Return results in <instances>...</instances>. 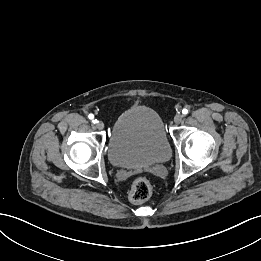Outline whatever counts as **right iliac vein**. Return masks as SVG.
<instances>
[{
  "label": "right iliac vein",
  "instance_id": "63e3f726",
  "mask_svg": "<svg viewBox=\"0 0 261 261\" xmlns=\"http://www.w3.org/2000/svg\"><path fill=\"white\" fill-rule=\"evenodd\" d=\"M95 126L98 130H102L104 128V123L102 121H97Z\"/></svg>",
  "mask_w": 261,
  "mask_h": 261
}]
</instances>
